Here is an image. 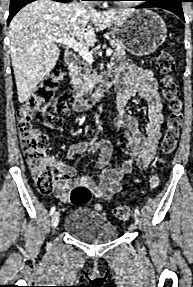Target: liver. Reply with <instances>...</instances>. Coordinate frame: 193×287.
<instances>
[{
	"label": "liver",
	"instance_id": "6515ba94",
	"mask_svg": "<svg viewBox=\"0 0 193 287\" xmlns=\"http://www.w3.org/2000/svg\"><path fill=\"white\" fill-rule=\"evenodd\" d=\"M129 9L98 12L78 2L37 0L22 8L9 25L10 55L18 100L24 103L56 65L60 50L50 38L76 37L93 46L99 31L132 13Z\"/></svg>",
	"mask_w": 193,
	"mask_h": 287
}]
</instances>
